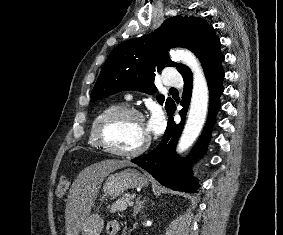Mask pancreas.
<instances>
[{
	"label": "pancreas",
	"mask_w": 283,
	"mask_h": 235,
	"mask_svg": "<svg viewBox=\"0 0 283 235\" xmlns=\"http://www.w3.org/2000/svg\"><path fill=\"white\" fill-rule=\"evenodd\" d=\"M134 195L127 193L122 197L118 198L111 205H108L107 208L110 213L114 214L116 212H123L128 207L129 202L132 201Z\"/></svg>",
	"instance_id": "1"
}]
</instances>
